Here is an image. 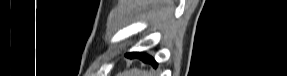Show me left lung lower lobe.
<instances>
[{
    "mask_svg": "<svg viewBox=\"0 0 287 76\" xmlns=\"http://www.w3.org/2000/svg\"><path fill=\"white\" fill-rule=\"evenodd\" d=\"M126 55H127L128 57H130V58H139V59H141L143 62L151 63L154 67L157 66L156 61H155L152 57H150V56H148V55H146V54H144V53L132 52V53H129V54H126Z\"/></svg>",
    "mask_w": 287,
    "mask_h": 76,
    "instance_id": "left-lung-lower-lobe-1",
    "label": "left lung lower lobe"
}]
</instances>
